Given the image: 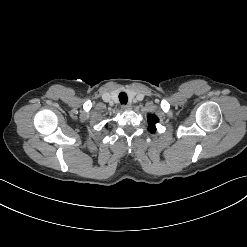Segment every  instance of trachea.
I'll return each instance as SVG.
<instances>
[{
    "mask_svg": "<svg viewBox=\"0 0 247 247\" xmlns=\"http://www.w3.org/2000/svg\"><path fill=\"white\" fill-rule=\"evenodd\" d=\"M119 101H120L121 104H127L128 97H127V94L125 92H121L119 94Z\"/></svg>",
    "mask_w": 247,
    "mask_h": 247,
    "instance_id": "3493384b",
    "label": "trachea"
}]
</instances>
